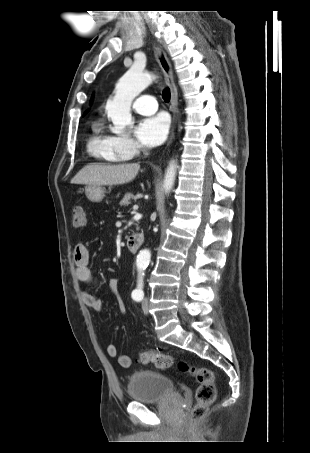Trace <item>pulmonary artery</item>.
Wrapping results in <instances>:
<instances>
[{"instance_id":"1","label":"pulmonary artery","mask_w":310,"mask_h":453,"mask_svg":"<svg viewBox=\"0 0 310 453\" xmlns=\"http://www.w3.org/2000/svg\"><path fill=\"white\" fill-rule=\"evenodd\" d=\"M158 108L155 98L151 95L138 96L133 102V109L142 115L153 114Z\"/></svg>"}]
</instances>
